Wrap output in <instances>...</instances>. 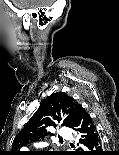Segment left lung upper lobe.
Returning a JSON list of instances; mask_svg holds the SVG:
<instances>
[{
    "mask_svg": "<svg viewBox=\"0 0 119 155\" xmlns=\"http://www.w3.org/2000/svg\"><path fill=\"white\" fill-rule=\"evenodd\" d=\"M77 106L78 104L64 92L52 93L49 97L42 100L38 110L14 138L11 155H22L19 151L21 147L43 139L46 135L50 134L46 128L48 126H56L53 119L58 122L61 121L59 117L61 112L68 115L62 125L73 128ZM56 114H58V116H56ZM45 155L68 154L64 151H54Z\"/></svg>",
    "mask_w": 119,
    "mask_h": 155,
    "instance_id": "5c2ea615",
    "label": "left lung upper lobe"
}]
</instances>
